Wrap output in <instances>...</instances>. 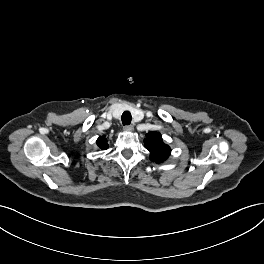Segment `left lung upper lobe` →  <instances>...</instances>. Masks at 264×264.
Here are the masks:
<instances>
[{
	"mask_svg": "<svg viewBox=\"0 0 264 264\" xmlns=\"http://www.w3.org/2000/svg\"><path fill=\"white\" fill-rule=\"evenodd\" d=\"M144 144L145 148L150 151V159L153 162H164L170 155V147L163 143L162 136L158 132L148 133Z\"/></svg>",
	"mask_w": 264,
	"mask_h": 264,
	"instance_id": "obj_1",
	"label": "left lung upper lobe"
}]
</instances>
